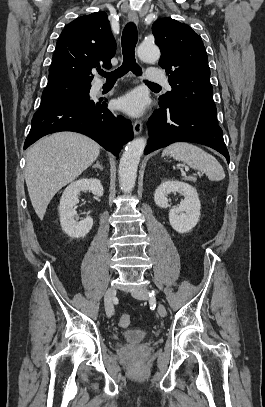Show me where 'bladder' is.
Returning a JSON list of instances; mask_svg holds the SVG:
<instances>
[{"label": "bladder", "mask_w": 265, "mask_h": 407, "mask_svg": "<svg viewBox=\"0 0 265 407\" xmlns=\"http://www.w3.org/2000/svg\"><path fill=\"white\" fill-rule=\"evenodd\" d=\"M150 337V333L144 329H130L122 334V338L129 343H138Z\"/></svg>", "instance_id": "31cf9c89"}]
</instances>
